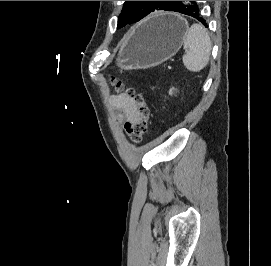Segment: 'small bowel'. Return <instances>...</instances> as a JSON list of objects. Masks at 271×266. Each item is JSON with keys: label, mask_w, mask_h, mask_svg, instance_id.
<instances>
[{"label": "small bowel", "mask_w": 271, "mask_h": 266, "mask_svg": "<svg viewBox=\"0 0 271 266\" xmlns=\"http://www.w3.org/2000/svg\"><path fill=\"white\" fill-rule=\"evenodd\" d=\"M112 103L121 110L120 118L124 119L126 122H132L137 118L138 113L136 105L127 95L114 96L112 98Z\"/></svg>", "instance_id": "1"}]
</instances>
